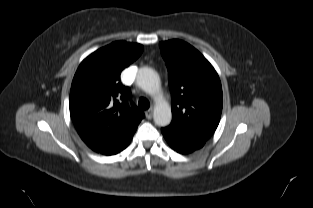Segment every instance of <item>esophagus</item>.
I'll return each mask as SVG.
<instances>
[{"mask_svg": "<svg viewBox=\"0 0 313 208\" xmlns=\"http://www.w3.org/2000/svg\"><path fill=\"white\" fill-rule=\"evenodd\" d=\"M145 116H146L147 119H151L152 116H153V109L150 108V109L146 110L145 111Z\"/></svg>", "mask_w": 313, "mask_h": 208, "instance_id": "1", "label": "esophagus"}]
</instances>
